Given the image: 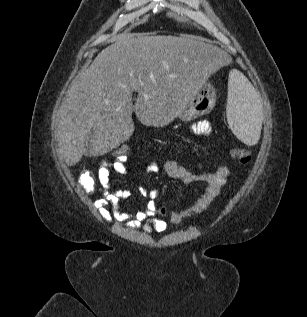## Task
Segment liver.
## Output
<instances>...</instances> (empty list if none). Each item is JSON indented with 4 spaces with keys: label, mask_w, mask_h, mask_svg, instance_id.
I'll return each instance as SVG.
<instances>
[{
    "label": "liver",
    "mask_w": 307,
    "mask_h": 317,
    "mask_svg": "<svg viewBox=\"0 0 307 317\" xmlns=\"http://www.w3.org/2000/svg\"><path fill=\"white\" fill-rule=\"evenodd\" d=\"M226 65L224 48L193 35L137 33L115 38L63 99L57 133L60 156L68 166L77 164L91 130L90 156L109 152L132 135L133 112L143 125L169 124L204 78L220 74Z\"/></svg>",
    "instance_id": "1"
}]
</instances>
